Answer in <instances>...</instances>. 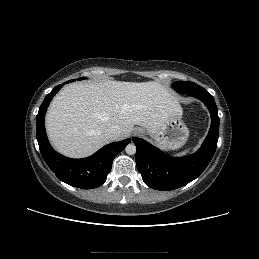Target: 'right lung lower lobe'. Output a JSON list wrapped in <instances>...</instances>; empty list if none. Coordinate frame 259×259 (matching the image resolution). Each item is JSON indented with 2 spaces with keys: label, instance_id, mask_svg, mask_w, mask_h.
<instances>
[{
  "label": "right lung lower lobe",
  "instance_id": "obj_1",
  "mask_svg": "<svg viewBox=\"0 0 259 259\" xmlns=\"http://www.w3.org/2000/svg\"><path fill=\"white\" fill-rule=\"evenodd\" d=\"M56 86L46 95L39 108L36 123V136L40 152L53 173L63 182L82 189H93L101 186L107 179L111 171L112 163L118 153H120L131 139L110 143L102 147L90 157L83 159H71L57 153L50 145L44 125L45 113L49 103L55 94L64 84Z\"/></svg>",
  "mask_w": 259,
  "mask_h": 259
}]
</instances>
